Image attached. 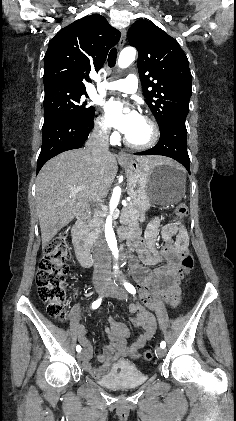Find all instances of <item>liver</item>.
Returning <instances> with one entry per match:
<instances>
[{
    "mask_svg": "<svg viewBox=\"0 0 236 421\" xmlns=\"http://www.w3.org/2000/svg\"><path fill=\"white\" fill-rule=\"evenodd\" d=\"M142 166L172 164L182 168L176 160L163 156H135ZM118 166L114 154L105 152L101 162H93L85 148L65 150L50 158L36 178L37 215L41 229L42 247L84 211L89 200L106 196ZM84 186L83 190H74Z\"/></svg>",
    "mask_w": 236,
    "mask_h": 421,
    "instance_id": "obj_1",
    "label": "liver"
}]
</instances>
